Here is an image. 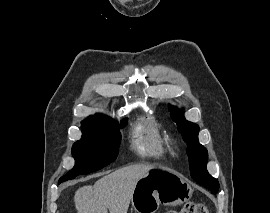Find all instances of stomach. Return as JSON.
I'll return each instance as SVG.
<instances>
[{"instance_id": "stomach-1", "label": "stomach", "mask_w": 270, "mask_h": 213, "mask_svg": "<svg viewBox=\"0 0 270 213\" xmlns=\"http://www.w3.org/2000/svg\"><path fill=\"white\" fill-rule=\"evenodd\" d=\"M189 181L177 172L154 168L138 180L131 203L136 213H155L159 206L181 205L192 197Z\"/></svg>"}]
</instances>
